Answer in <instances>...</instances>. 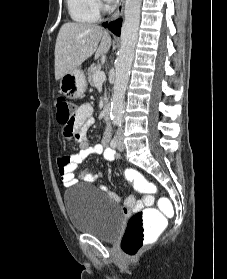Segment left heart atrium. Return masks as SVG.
Instances as JSON below:
<instances>
[{"mask_svg":"<svg viewBox=\"0 0 227 279\" xmlns=\"http://www.w3.org/2000/svg\"><path fill=\"white\" fill-rule=\"evenodd\" d=\"M106 1H108V2H113L114 0H106Z\"/></svg>","mask_w":227,"mask_h":279,"instance_id":"1","label":"left heart atrium"}]
</instances>
